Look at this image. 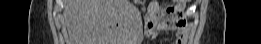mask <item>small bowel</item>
I'll return each mask as SVG.
<instances>
[{"label":"small bowel","instance_id":"1","mask_svg":"<svg viewBox=\"0 0 261 44\" xmlns=\"http://www.w3.org/2000/svg\"><path fill=\"white\" fill-rule=\"evenodd\" d=\"M184 6L185 4L166 8L161 2L152 1L148 8V22L151 24L149 34L154 36L158 31L173 32L175 35L174 43H184L189 32ZM166 15L170 16L169 20H163Z\"/></svg>","mask_w":261,"mask_h":44}]
</instances>
